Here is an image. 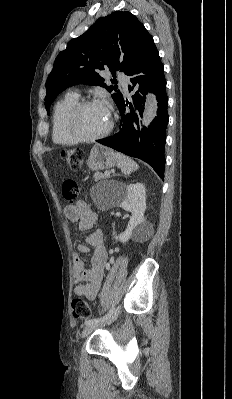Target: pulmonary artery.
Returning <instances> with one entry per match:
<instances>
[{
    "mask_svg": "<svg viewBox=\"0 0 232 399\" xmlns=\"http://www.w3.org/2000/svg\"><path fill=\"white\" fill-rule=\"evenodd\" d=\"M116 74H120V71H116ZM118 78H120V82L122 85H126L127 82L126 78H121V75H118Z\"/></svg>",
    "mask_w": 232,
    "mask_h": 399,
    "instance_id": "e3ab8cb5",
    "label": "pulmonary artery"
}]
</instances>
